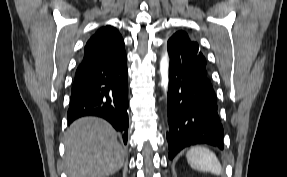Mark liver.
Wrapping results in <instances>:
<instances>
[{
	"label": "liver",
	"instance_id": "liver-1",
	"mask_svg": "<svg viewBox=\"0 0 287 177\" xmlns=\"http://www.w3.org/2000/svg\"><path fill=\"white\" fill-rule=\"evenodd\" d=\"M65 147L69 177H105L123 166L124 151L117 133L100 118L84 117L73 122L66 132Z\"/></svg>",
	"mask_w": 287,
	"mask_h": 177
}]
</instances>
